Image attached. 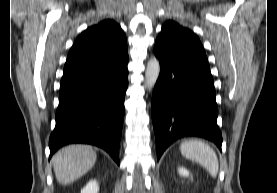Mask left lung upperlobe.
<instances>
[{"label":"left lung upper lobe","instance_id":"left-lung-upper-lobe-1","mask_svg":"<svg viewBox=\"0 0 277 193\" xmlns=\"http://www.w3.org/2000/svg\"><path fill=\"white\" fill-rule=\"evenodd\" d=\"M157 40L164 42L169 48L179 54L207 59L198 37L192 31L174 21H167L163 25Z\"/></svg>","mask_w":277,"mask_h":193}]
</instances>
